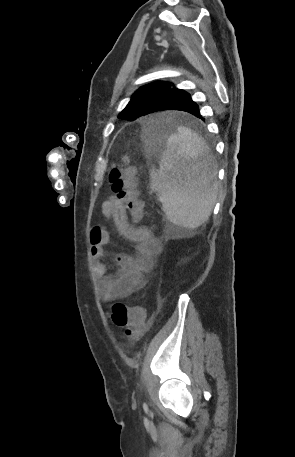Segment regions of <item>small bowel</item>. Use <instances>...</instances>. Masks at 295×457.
Here are the masks:
<instances>
[{
  "instance_id": "c3829d8e",
  "label": "small bowel",
  "mask_w": 295,
  "mask_h": 457,
  "mask_svg": "<svg viewBox=\"0 0 295 457\" xmlns=\"http://www.w3.org/2000/svg\"><path fill=\"white\" fill-rule=\"evenodd\" d=\"M101 211L105 218L113 220L125 238L135 243V255L113 256L117 269L116 274L112 276L111 268L106 262L105 250L109 234L102 226H94L90 231L94 271L100 278L102 298L107 302L122 300L144 286L145 275L152 270L155 259L161 252V243L149 228L134 227L128 222L126 210L114 194L103 202Z\"/></svg>"
}]
</instances>
